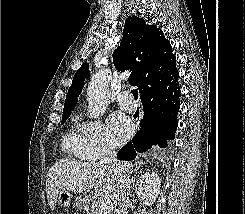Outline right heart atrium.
<instances>
[{
    "label": "right heart atrium",
    "mask_w": 245,
    "mask_h": 214,
    "mask_svg": "<svg viewBox=\"0 0 245 214\" xmlns=\"http://www.w3.org/2000/svg\"><path fill=\"white\" fill-rule=\"evenodd\" d=\"M80 154L85 160L96 161L113 152L103 125L98 120L80 118L76 125Z\"/></svg>",
    "instance_id": "right-heart-atrium-1"
}]
</instances>
